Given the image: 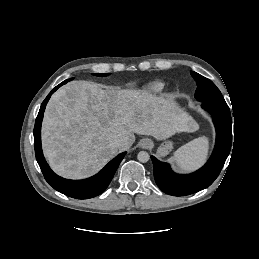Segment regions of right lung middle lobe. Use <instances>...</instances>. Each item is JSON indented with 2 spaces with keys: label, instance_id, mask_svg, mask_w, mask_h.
Instances as JSON below:
<instances>
[{
  "label": "right lung middle lobe",
  "instance_id": "dd1d6c3e",
  "mask_svg": "<svg viewBox=\"0 0 259 259\" xmlns=\"http://www.w3.org/2000/svg\"><path fill=\"white\" fill-rule=\"evenodd\" d=\"M94 75L104 77V76H108L109 73H105V74H94ZM72 79H73V78L67 79V80H65L64 82L67 83L68 81H70V80H72Z\"/></svg>",
  "mask_w": 259,
  "mask_h": 259
}]
</instances>
